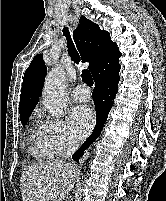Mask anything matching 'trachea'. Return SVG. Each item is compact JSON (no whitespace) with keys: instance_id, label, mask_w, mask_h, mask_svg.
I'll return each mask as SVG.
<instances>
[{"instance_id":"1","label":"trachea","mask_w":166,"mask_h":201,"mask_svg":"<svg viewBox=\"0 0 166 201\" xmlns=\"http://www.w3.org/2000/svg\"><path fill=\"white\" fill-rule=\"evenodd\" d=\"M63 34L66 36L67 39V46H68V52L71 56V59L74 61V63H79V55L74 47V44L71 40L70 32L68 31V28L65 27L63 29ZM82 80L84 83H86L88 86H93V78L91 73L88 70H83L81 74Z\"/></svg>"}]
</instances>
